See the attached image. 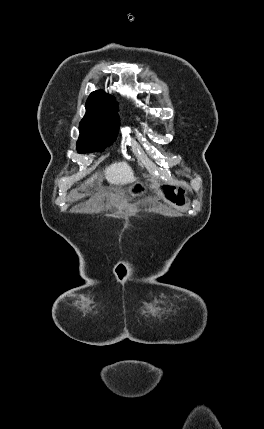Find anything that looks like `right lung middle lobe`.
Here are the masks:
<instances>
[{"label":"right lung middle lobe","instance_id":"dd1d6c3e","mask_svg":"<svg viewBox=\"0 0 264 429\" xmlns=\"http://www.w3.org/2000/svg\"><path fill=\"white\" fill-rule=\"evenodd\" d=\"M86 110L80 122L77 150L79 153L103 151L116 140L119 128L117 106H86Z\"/></svg>","mask_w":264,"mask_h":429}]
</instances>
